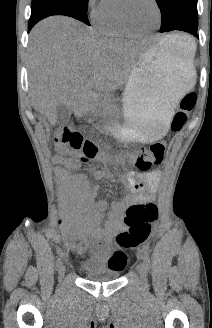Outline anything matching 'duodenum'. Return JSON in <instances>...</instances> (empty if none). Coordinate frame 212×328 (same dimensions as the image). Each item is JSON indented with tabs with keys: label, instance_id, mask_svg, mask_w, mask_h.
Wrapping results in <instances>:
<instances>
[{
	"label": "duodenum",
	"instance_id": "1",
	"mask_svg": "<svg viewBox=\"0 0 212 328\" xmlns=\"http://www.w3.org/2000/svg\"><path fill=\"white\" fill-rule=\"evenodd\" d=\"M90 95L89 94H84L82 95L74 104V112L76 114H79L83 111V108L85 104L90 100Z\"/></svg>",
	"mask_w": 212,
	"mask_h": 328
}]
</instances>
